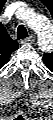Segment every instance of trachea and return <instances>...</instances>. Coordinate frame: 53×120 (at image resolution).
<instances>
[{
	"mask_svg": "<svg viewBox=\"0 0 53 120\" xmlns=\"http://www.w3.org/2000/svg\"><path fill=\"white\" fill-rule=\"evenodd\" d=\"M28 37L27 29L23 25H19L17 28V39H24Z\"/></svg>",
	"mask_w": 53,
	"mask_h": 120,
	"instance_id": "obj_1",
	"label": "trachea"
}]
</instances>
